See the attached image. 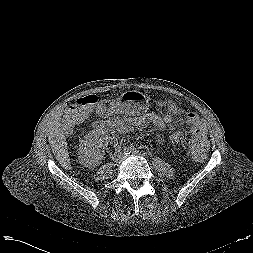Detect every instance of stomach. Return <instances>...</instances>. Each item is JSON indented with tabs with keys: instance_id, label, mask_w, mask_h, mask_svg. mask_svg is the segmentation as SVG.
Masks as SVG:
<instances>
[{
	"instance_id": "obj_1",
	"label": "stomach",
	"mask_w": 253,
	"mask_h": 253,
	"mask_svg": "<svg viewBox=\"0 0 253 253\" xmlns=\"http://www.w3.org/2000/svg\"><path fill=\"white\" fill-rule=\"evenodd\" d=\"M98 108L103 114L116 111L126 115H142L149 110V99L142 92L126 91L116 100H102Z\"/></svg>"
}]
</instances>
